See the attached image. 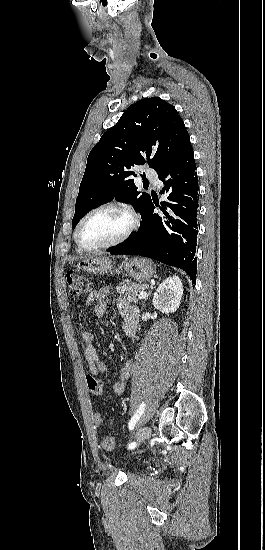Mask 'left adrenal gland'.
I'll use <instances>...</instances> for the list:
<instances>
[{
    "label": "left adrenal gland",
    "mask_w": 265,
    "mask_h": 550,
    "mask_svg": "<svg viewBox=\"0 0 265 550\" xmlns=\"http://www.w3.org/2000/svg\"><path fill=\"white\" fill-rule=\"evenodd\" d=\"M152 289H153V288H152ZM149 295H150V293H148L147 297H146V298L144 299V301L142 302V306H141V309H142V310H143V308H144V306H145L144 303H145V301H146V299L148 298Z\"/></svg>",
    "instance_id": "left-adrenal-gland-1"
}]
</instances>
